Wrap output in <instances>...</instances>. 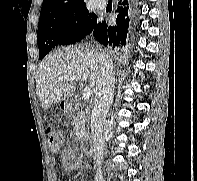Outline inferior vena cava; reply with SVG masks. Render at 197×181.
Segmentation results:
<instances>
[{"instance_id": "inferior-vena-cava-1", "label": "inferior vena cava", "mask_w": 197, "mask_h": 181, "mask_svg": "<svg viewBox=\"0 0 197 181\" xmlns=\"http://www.w3.org/2000/svg\"><path fill=\"white\" fill-rule=\"evenodd\" d=\"M115 77L110 64L103 61L91 115V138L95 159V181H103L101 165L104 155L105 120L113 100Z\"/></svg>"}]
</instances>
